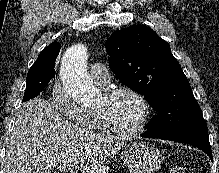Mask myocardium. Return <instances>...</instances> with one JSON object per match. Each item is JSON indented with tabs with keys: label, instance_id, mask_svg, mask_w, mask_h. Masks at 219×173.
<instances>
[{
	"label": "myocardium",
	"instance_id": "1",
	"mask_svg": "<svg viewBox=\"0 0 219 173\" xmlns=\"http://www.w3.org/2000/svg\"><path fill=\"white\" fill-rule=\"evenodd\" d=\"M122 93H127L135 97L142 107V115L137 126H135L130 130L121 129L116 127L111 122L104 109L102 108L96 109V113L102 126L106 131L122 137H133L141 133L147 126L149 119L151 117V107L149 102L141 92L129 86L123 85V86H114L107 88L105 89L103 95L106 100H110Z\"/></svg>",
	"mask_w": 219,
	"mask_h": 173
}]
</instances>
